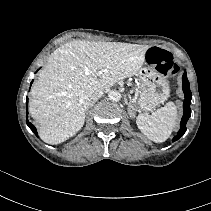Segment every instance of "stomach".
<instances>
[{
	"label": "stomach",
	"instance_id": "1",
	"mask_svg": "<svg viewBox=\"0 0 211 211\" xmlns=\"http://www.w3.org/2000/svg\"><path fill=\"white\" fill-rule=\"evenodd\" d=\"M137 75L142 82L138 98V106L141 110H153L168 99L170 88L163 74L153 67L145 66L138 71Z\"/></svg>",
	"mask_w": 211,
	"mask_h": 211
}]
</instances>
